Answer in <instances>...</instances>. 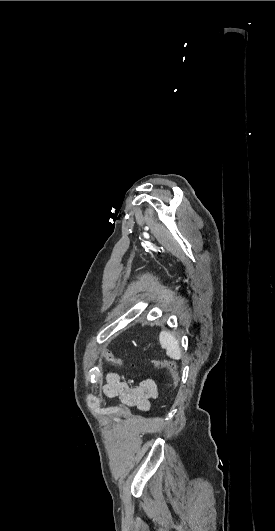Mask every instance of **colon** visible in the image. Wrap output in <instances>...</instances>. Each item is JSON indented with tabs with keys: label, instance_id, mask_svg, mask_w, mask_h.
<instances>
[{
	"label": "colon",
	"instance_id": "obj_1",
	"mask_svg": "<svg viewBox=\"0 0 275 531\" xmlns=\"http://www.w3.org/2000/svg\"><path fill=\"white\" fill-rule=\"evenodd\" d=\"M102 358H104L108 363L113 364L115 366H121L123 364V361L121 358L117 356V353L115 350H104L101 353ZM154 366L157 369H165L167 370L171 377H172V383L170 385V391H172L177 386V368L175 364L168 360V359H158L154 362ZM167 400H170V397H167Z\"/></svg>",
	"mask_w": 275,
	"mask_h": 531
}]
</instances>
